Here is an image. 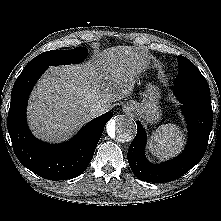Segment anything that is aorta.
Listing matches in <instances>:
<instances>
[{"mask_svg": "<svg viewBox=\"0 0 221 221\" xmlns=\"http://www.w3.org/2000/svg\"><path fill=\"white\" fill-rule=\"evenodd\" d=\"M108 136L118 142H129L133 140L137 132L134 120L125 115L115 116L106 125Z\"/></svg>", "mask_w": 221, "mask_h": 221, "instance_id": "obj_1", "label": "aorta"}]
</instances>
